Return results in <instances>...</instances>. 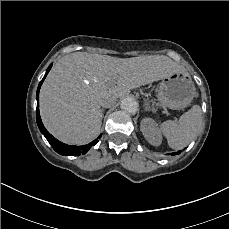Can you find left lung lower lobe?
Wrapping results in <instances>:
<instances>
[{"mask_svg":"<svg viewBox=\"0 0 229 229\" xmlns=\"http://www.w3.org/2000/svg\"><path fill=\"white\" fill-rule=\"evenodd\" d=\"M173 154H176V153H173ZM177 154H180V151H178Z\"/></svg>","mask_w":229,"mask_h":229,"instance_id":"1","label":"left lung lower lobe"}]
</instances>
